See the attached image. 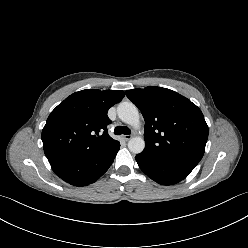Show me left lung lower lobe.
<instances>
[{
	"label": "left lung lower lobe",
	"mask_w": 248,
	"mask_h": 248,
	"mask_svg": "<svg viewBox=\"0 0 248 248\" xmlns=\"http://www.w3.org/2000/svg\"><path fill=\"white\" fill-rule=\"evenodd\" d=\"M136 161L140 169L152 180L163 185H172L183 180L193 168L176 165L137 154Z\"/></svg>",
	"instance_id": "0a47b994"
}]
</instances>
